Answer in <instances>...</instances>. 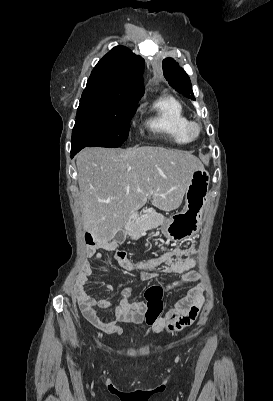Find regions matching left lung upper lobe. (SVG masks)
Returning <instances> with one entry per match:
<instances>
[{"mask_svg": "<svg viewBox=\"0 0 273 401\" xmlns=\"http://www.w3.org/2000/svg\"><path fill=\"white\" fill-rule=\"evenodd\" d=\"M162 68L164 76L171 87L185 97L195 100L190 78L185 71L179 67L178 63L172 58H166L163 60Z\"/></svg>", "mask_w": 273, "mask_h": 401, "instance_id": "1", "label": "left lung upper lobe"}]
</instances>
